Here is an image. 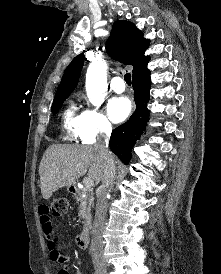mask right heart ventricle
<instances>
[{
	"label": "right heart ventricle",
	"instance_id": "right-heart-ventricle-1",
	"mask_svg": "<svg viewBox=\"0 0 221 274\" xmlns=\"http://www.w3.org/2000/svg\"><path fill=\"white\" fill-rule=\"evenodd\" d=\"M76 110V106L72 103L64 111L62 117L63 129L72 137H77L80 115L76 114Z\"/></svg>",
	"mask_w": 221,
	"mask_h": 274
}]
</instances>
